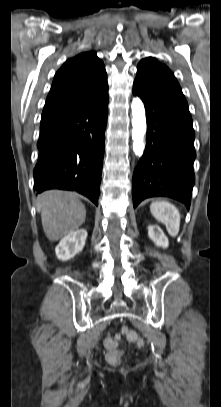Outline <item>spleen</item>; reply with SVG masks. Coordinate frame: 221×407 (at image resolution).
<instances>
[{
  "mask_svg": "<svg viewBox=\"0 0 221 407\" xmlns=\"http://www.w3.org/2000/svg\"><path fill=\"white\" fill-rule=\"evenodd\" d=\"M150 211L154 218L165 224L168 233L175 237L180 229V213L178 209L168 201H155L150 205Z\"/></svg>",
  "mask_w": 221,
  "mask_h": 407,
  "instance_id": "1",
  "label": "spleen"
}]
</instances>
